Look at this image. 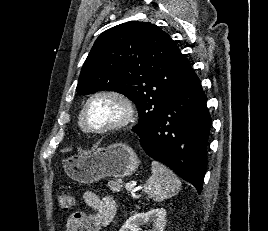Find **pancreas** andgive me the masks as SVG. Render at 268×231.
Instances as JSON below:
<instances>
[{
	"instance_id": "1",
	"label": "pancreas",
	"mask_w": 268,
	"mask_h": 231,
	"mask_svg": "<svg viewBox=\"0 0 268 231\" xmlns=\"http://www.w3.org/2000/svg\"><path fill=\"white\" fill-rule=\"evenodd\" d=\"M109 186L113 192H120L123 187V185L118 182H110Z\"/></svg>"
}]
</instances>
